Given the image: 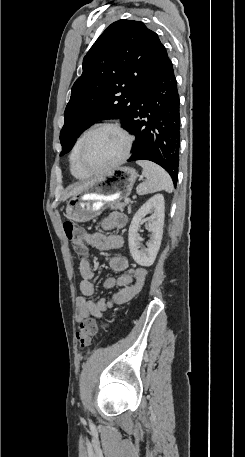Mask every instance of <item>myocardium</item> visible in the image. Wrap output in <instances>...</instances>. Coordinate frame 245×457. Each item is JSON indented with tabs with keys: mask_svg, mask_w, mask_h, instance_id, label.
<instances>
[{
	"mask_svg": "<svg viewBox=\"0 0 245 457\" xmlns=\"http://www.w3.org/2000/svg\"><path fill=\"white\" fill-rule=\"evenodd\" d=\"M109 129L112 130L116 133H118L125 141L124 148L122 153L118 156V158L109 166H106L104 168L98 169V170H90L88 169L85 164L83 163L82 160V153L87 146L88 141L90 138L96 134L97 132L101 130ZM133 144V139L131 135L120 125L116 123H101L97 124L94 127H92L84 136L82 143L77 151V163L80 169L87 175V176H95L99 175L103 172L110 171L112 169H115L117 166H119L124 160H126L130 154L131 148Z\"/></svg>",
	"mask_w": 245,
	"mask_h": 457,
	"instance_id": "obj_1",
	"label": "myocardium"
}]
</instances>
